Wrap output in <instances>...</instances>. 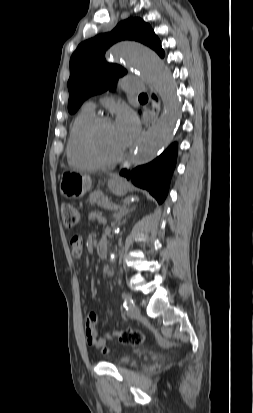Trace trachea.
Here are the masks:
<instances>
[{
    "mask_svg": "<svg viewBox=\"0 0 253 413\" xmlns=\"http://www.w3.org/2000/svg\"><path fill=\"white\" fill-rule=\"evenodd\" d=\"M139 97H147V95L143 93Z\"/></svg>",
    "mask_w": 253,
    "mask_h": 413,
    "instance_id": "3493384b",
    "label": "trachea"
}]
</instances>
